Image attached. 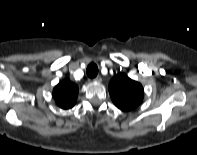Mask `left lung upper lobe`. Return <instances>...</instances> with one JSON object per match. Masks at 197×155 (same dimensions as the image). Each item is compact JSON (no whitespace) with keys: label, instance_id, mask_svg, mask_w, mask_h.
<instances>
[{"label":"left lung upper lobe","instance_id":"left-lung-upper-lobe-1","mask_svg":"<svg viewBox=\"0 0 197 155\" xmlns=\"http://www.w3.org/2000/svg\"><path fill=\"white\" fill-rule=\"evenodd\" d=\"M109 93L114 105L122 111L136 108L144 96L142 85L122 73L110 81Z\"/></svg>","mask_w":197,"mask_h":155}]
</instances>
